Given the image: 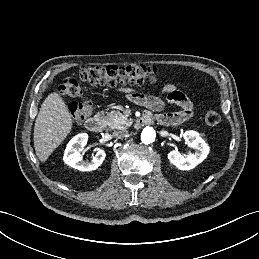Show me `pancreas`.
I'll use <instances>...</instances> for the list:
<instances>
[{
  "mask_svg": "<svg viewBox=\"0 0 259 259\" xmlns=\"http://www.w3.org/2000/svg\"><path fill=\"white\" fill-rule=\"evenodd\" d=\"M106 124L111 129H126L132 124V120L128 119L125 115H123L119 111H111L103 116Z\"/></svg>",
  "mask_w": 259,
  "mask_h": 259,
  "instance_id": "pancreas-1",
  "label": "pancreas"
}]
</instances>
